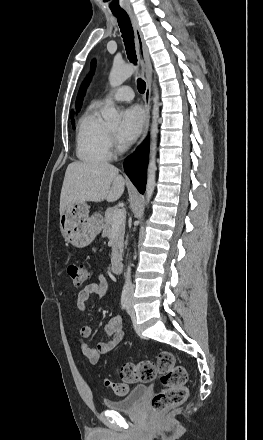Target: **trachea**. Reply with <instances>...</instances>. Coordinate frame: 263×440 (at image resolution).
<instances>
[{
    "mask_svg": "<svg viewBox=\"0 0 263 440\" xmlns=\"http://www.w3.org/2000/svg\"><path fill=\"white\" fill-rule=\"evenodd\" d=\"M113 14L118 20V24L122 33L124 45L130 62L136 64L137 57L134 46V32L128 15L123 11H114ZM137 89L143 94L146 89V83L142 79L137 80Z\"/></svg>",
    "mask_w": 263,
    "mask_h": 440,
    "instance_id": "3493384b",
    "label": "trachea"
}]
</instances>
